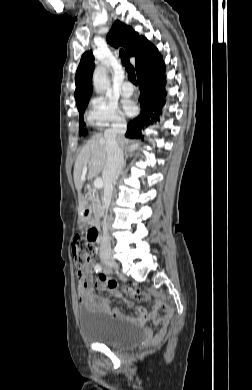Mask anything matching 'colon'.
Here are the masks:
<instances>
[{
  "instance_id": "1",
  "label": "colon",
  "mask_w": 252,
  "mask_h": 390,
  "mask_svg": "<svg viewBox=\"0 0 252 390\" xmlns=\"http://www.w3.org/2000/svg\"><path fill=\"white\" fill-rule=\"evenodd\" d=\"M94 230L89 229L86 236H76L72 244V255L74 265L81 272L92 259L94 252Z\"/></svg>"
}]
</instances>
